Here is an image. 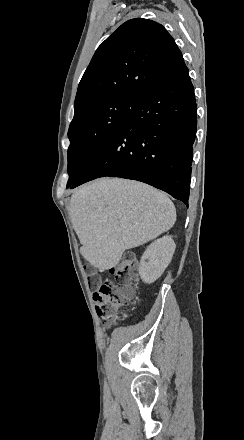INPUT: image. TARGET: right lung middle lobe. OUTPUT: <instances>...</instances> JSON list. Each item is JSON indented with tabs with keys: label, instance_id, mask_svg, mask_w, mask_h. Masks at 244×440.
I'll use <instances>...</instances> for the list:
<instances>
[{
	"label": "right lung middle lobe",
	"instance_id": "dd1d6c3e",
	"mask_svg": "<svg viewBox=\"0 0 244 440\" xmlns=\"http://www.w3.org/2000/svg\"><path fill=\"white\" fill-rule=\"evenodd\" d=\"M141 97L114 96L74 107L69 126V188L135 110Z\"/></svg>",
	"mask_w": 244,
	"mask_h": 440
}]
</instances>
